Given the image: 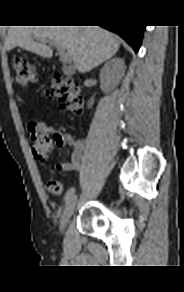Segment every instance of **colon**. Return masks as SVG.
I'll list each match as a JSON object with an SVG mask.
<instances>
[{"mask_svg": "<svg viewBox=\"0 0 184 292\" xmlns=\"http://www.w3.org/2000/svg\"><path fill=\"white\" fill-rule=\"evenodd\" d=\"M12 66L15 80L19 85L26 86L36 81L37 72L29 60L23 57H15ZM46 96L58 98L63 110L80 113L83 109L80 88L72 79L54 75ZM28 131L32 141V151L35 159L40 162H45L52 151L49 128L43 122L31 120L28 124ZM46 187L53 194H60L63 191L62 183L57 180H50Z\"/></svg>", "mask_w": 184, "mask_h": 292, "instance_id": "obj_1", "label": "colon"}]
</instances>
